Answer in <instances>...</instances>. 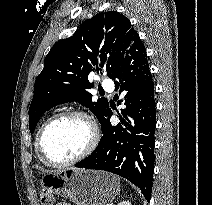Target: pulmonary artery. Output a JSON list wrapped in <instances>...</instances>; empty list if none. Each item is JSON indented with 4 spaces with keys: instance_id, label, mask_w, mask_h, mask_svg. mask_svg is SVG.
Returning a JSON list of instances; mask_svg holds the SVG:
<instances>
[{
    "instance_id": "e3ab8cb5",
    "label": "pulmonary artery",
    "mask_w": 212,
    "mask_h": 205,
    "mask_svg": "<svg viewBox=\"0 0 212 205\" xmlns=\"http://www.w3.org/2000/svg\"><path fill=\"white\" fill-rule=\"evenodd\" d=\"M102 87H103L105 90L111 92V91H113V89H114V84H113V82H112L111 80L105 79V80L102 82Z\"/></svg>"
}]
</instances>
